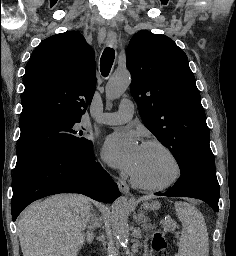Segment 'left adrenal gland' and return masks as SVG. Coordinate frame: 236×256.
Segmentation results:
<instances>
[{
	"label": "left adrenal gland",
	"mask_w": 236,
	"mask_h": 256,
	"mask_svg": "<svg viewBox=\"0 0 236 256\" xmlns=\"http://www.w3.org/2000/svg\"><path fill=\"white\" fill-rule=\"evenodd\" d=\"M145 212L144 210H140L138 214V224H142L141 228H146L147 222H151L147 216H144Z\"/></svg>",
	"instance_id": "left-adrenal-gland-1"
}]
</instances>
